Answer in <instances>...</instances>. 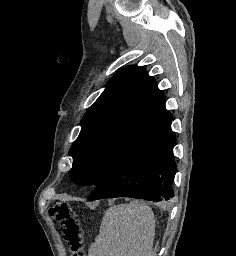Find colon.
<instances>
[{"label": "colon", "mask_w": 236, "mask_h": 256, "mask_svg": "<svg viewBox=\"0 0 236 256\" xmlns=\"http://www.w3.org/2000/svg\"><path fill=\"white\" fill-rule=\"evenodd\" d=\"M48 214L62 226V236L68 244L71 256H86L77 211L68 203L57 200L49 208Z\"/></svg>", "instance_id": "obj_1"}]
</instances>
